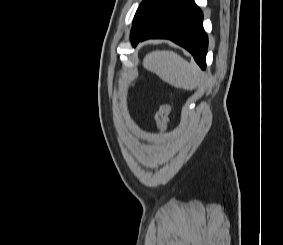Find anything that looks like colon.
I'll use <instances>...</instances> for the list:
<instances>
[{
	"instance_id": "1",
	"label": "colon",
	"mask_w": 283,
	"mask_h": 245,
	"mask_svg": "<svg viewBox=\"0 0 283 245\" xmlns=\"http://www.w3.org/2000/svg\"><path fill=\"white\" fill-rule=\"evenodd\" d=\"M170 113L171 107L168 103L159 105L155 114V120L160 131H165L167 129Z\"/></svg>"
}]
</instances>
